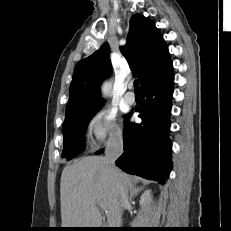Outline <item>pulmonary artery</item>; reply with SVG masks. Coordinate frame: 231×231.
Returning a JSON list of instances; mask_svg holds the SVG:
<instances>
[{
  "instance_id": "1",
  "label": "pulmonary artery",
  "mask_w": 231,
  "mask_h": 231,
  "mask_svg": "<svg viewBox=\"0 0 231 231\" xmlns=\"http://www.w3.org/2000/svg\"><path fill=\"white\" fill-rule=\"evenodd\" d=\"M129 88H132V84L129 85ZM124 100L127 104L132 105L135 103L136 98L133 92L129 91L126 93Z\"/></svg>"
}]
</instances>
